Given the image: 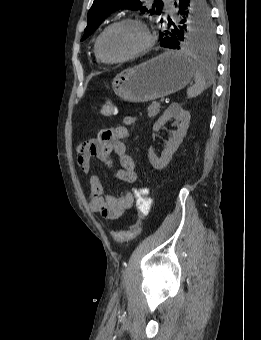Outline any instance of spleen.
<instances>
[{
	"label": "spleen",
	"instance_id": "spleen-1",
	"mask_svg": "<svg viewBox=\"0 0 261 340\" xmlns=\"http://www.w3.org/2000/svg\"><path fill=\"white\" fill-rule=\"evenodd\" d=\"M194 79L195 84L187 90L189 98L198 96L213 82L211 72L197 61L194 62Z\"/></svg>",
	"mask_w": 261,
	"mask_h": 340
}]
</instances>
